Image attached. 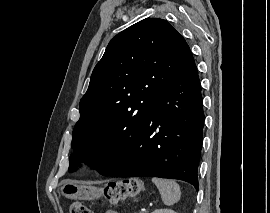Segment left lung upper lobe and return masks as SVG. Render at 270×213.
I'll return each mask as SVG.
<instances>
[{"label":"left lung upper lobe","mask_w":270,"mask_h":213,"mask_svg":"<svg viewBox=\"0 0 270 213\" xmlns=\"http://www.w3.org/2000/svg\"><path fill=\"white\" fill-rule=\"evenodd\" d=\"M195 64L191 50L166 20L146 18L117 34L95 66L79 103L69 170L106 146L124 142L147 120L158 98ZM100 137V138H98Z\"/></svg>","instance_id":"1"}]
</instances>
